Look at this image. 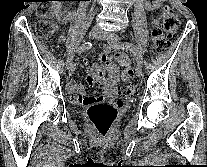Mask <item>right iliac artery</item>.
Instances as JSON below:
<instances>
[{"mask_svg":"<svg viewBox=\"0 0 207 167\" xmlns=\"http://www.w3.org/2000/svg\"><path fill=\"white\" fill-rule=\"evenodd\" d=\"M91 47H92L91 42H85L80 47H78L77 52L78 53L84 52L86 50H89ZM71 64H72V56L67 60L66 66L69 67Z\"/></svg>","mask_w":207,"mask_h":167,"instance_id":"right-iliac-artery-1","label":"right iliac artery"}]
</instances>
